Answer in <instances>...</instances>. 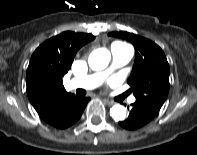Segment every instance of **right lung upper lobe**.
Listing matches in <instances>:
<instances>
[{
  "instance_id": "obj_1",
  "label": "right lung upper lobe",
  "mask_w": 197,
  "mask_h": 155,
  "mask_svg": "<svg viewBox=\"0 0 197 155\" xmlns=\"http://www.w3.org/2000/svg\"><path fill=\"white\" fill-rule=\"evenodd\" d=\"M94 38L91 34L67 31L45 41L33 53L26 73L27 95L46 123L74 96L65 90L62 78L79 48Z\"/></svg>"
}]
</instances>
